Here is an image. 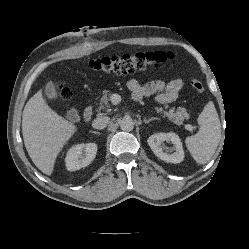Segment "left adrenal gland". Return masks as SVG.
Here are the masks:
<instances>
[{"label": "left adrenal gland", "mask_w": 249, "mask_h": 249, "mask_svg": "<svg viewBox=\"0 0 249 249\" xmlns=\"http://www.w3.org/2000/svg\"><path fill=\"white\" fill-rule=\"evenodd\" d=\"M156 119H158V118H156V117H151V118H149V119H144L143 121H144L145 124H148L149 122H151V121H153V120H156Z\"/></svg>", "instance_id": "1"}]
</instances>
